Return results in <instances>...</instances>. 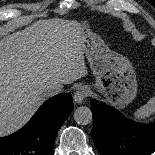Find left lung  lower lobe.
Segmentation results:
<instances>
[{"label": "left lung lower lobe", "instance_id": "0a47b994", "mask_svg": "<svg viewBox=\"0 0 155 155\" xmlns=\"http://www.w3.org/2000/svg\"><path fill=\"white\" fill-rule=\"evenodd\" d=\"M90 103L91 136L101 155H148L155 150V122L136 123L100 101Z\"/></svg>", "mask_w": 155, "mask_h": 155}]
</instances>
